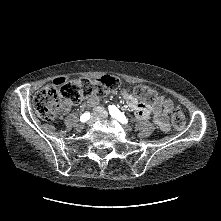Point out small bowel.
<instances>
[{
	"label": "small bowel",
	"mask_w": 221,
	"mask_h": 221,
	"mask_svg": "<svg viewBox=\"0 0 221 221\" xmlns=\"http://www.w3.org/2000/svg\"><path fill=\"white\" fill-rule=\"evenodd\" d=\"M68 79L65 76L54 77L51 80L54 86H63L67 84ZM121 96L126 101L127 108L134 112L139 120H146L150 113L154 114V122L158 128L166 132L169 130L168 113L173 106V102L170 99L160 96L158 101L153 106H149L145 103L139 102L132 94L126 90L121 91ZM99 99L96 96L89 97L85 105L94 106V114L100 116L103 113V108L98 106Z\"/></svg>",
	"instance_id": "obj_1"
}]
</instances>
